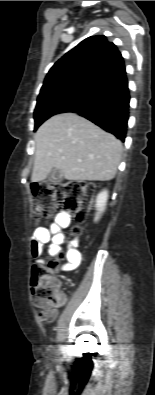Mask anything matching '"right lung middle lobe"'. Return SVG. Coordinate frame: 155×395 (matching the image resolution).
Returning a JSON list of instances; mask_svg holds the SVG:
<instances>
[{
    "label": "right lung middle lobe",
    "instance_id": "dd1d6c3e",
    "mask_svg": "<svg viewBox=\"0 0 155 395\" xmlns=\"http://www.w3.org/2000/svg\"><path fill=\"white\" fill-rule=\"evenodd\" d=\"M100 86L88 81H70L41 89L34 111L35 130L51 116L85 100Z\"/></svg>",
    "mask_w": 155,
    "mask_h": 395
}]
</instances>
